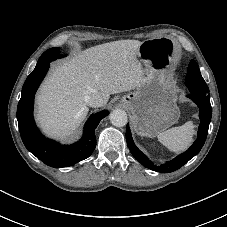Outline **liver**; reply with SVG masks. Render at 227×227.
Wrapping results in <instances>:
<instances>
[{"label":"liver","instance_id":"obj_1","mask_svg":"<svg viewBox=\"0 0 227 227\" xmlns=\"http://www.w3.org/2000/svg\"><path fill=\"white\" fill-rule=\"evenodd\" d=\"M138 40H119L88 48L56 67L36 97V119L51 137L66 138L85 119L87 97L137 89L146 80L138 61Z\"/></svg>","mask_w":227,"mask_h":227}]
</instances>
